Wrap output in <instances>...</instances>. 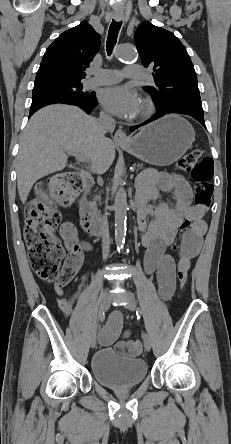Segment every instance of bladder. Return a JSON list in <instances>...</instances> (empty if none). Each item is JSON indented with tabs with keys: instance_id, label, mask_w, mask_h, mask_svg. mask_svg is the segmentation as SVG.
<instances>
[{
	"instance_id": "1",
	"label": "bladder",
	"mask_w": 231,
	"mask_h": 444,
	"mask_svg": "<svg viewBox=\"0 0 231 444\" xmlns=\"http://www.w3.org/2000/svg\"><path fill=\"white\" fill-rule=\"evenodd\" d=\"M93 378L103 386L122 389L140 384L147 374L143 359L127 357L114 348L98 349L90 363Z\"/></svg>"
}]
</instances>
